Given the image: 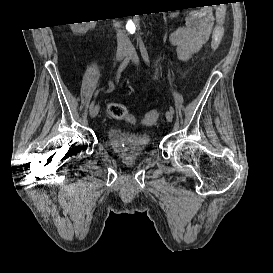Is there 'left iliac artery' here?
<instances>
[{"instance_id":"obj_1","label":"left iliac artery","mask_w":273,"mask_h":273,"mask_svg":"<svg viewBox=\"0 0 273 273\" xmlns=\"http://www.w3.org/2000/svg\"><path fill=\"white\" fill-rule=\"evenodd\" d=\"M139 47H140V52L143 57V60L149 66L150 65L149 56H148V53H147L144 43L140 42ZM169 110L172 114H174V108L172 106H170Z\"/></svg>"}]
</instances>
